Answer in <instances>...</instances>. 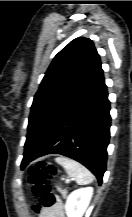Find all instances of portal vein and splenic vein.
<instances>
[{"mask_svg":"<svg viewBox=\"0 0 132 217\" xmlns=\"http://www.w3.org/2000/svg\"><path fill=\"white\" fill-rule=\"evenodd\" d=\"M69 181H70L69 179H66V180H65V182H69Z\"/></svg>","mask_w":132,"mask_h":217,"instance_id":"18ae733b","label":"portal vein and splenic vein"}]
</instances>
